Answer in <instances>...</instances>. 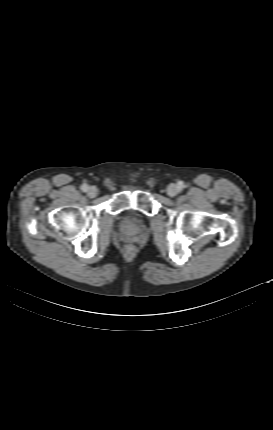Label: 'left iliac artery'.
I'll use <instances>...</instances> for the list:
<instances>
[{"mask_svg":"<svg viewBox=\"0 0 273 430\" xmlns=\"http://www.w3.org/2000/svg\"><path fill=\"white\" fill-rule=\"evenodd\" d=\"M179 188H184V183L183 182H179Z\"/></svg>","mask_w":273,"mask_h":430,"instance_id":"left-iliac-artery-1","label":"left iliac artery"}]
</instances>
